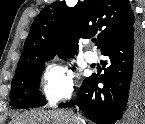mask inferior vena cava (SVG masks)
Returning <instances> with one entry per match:
<instances>
[{
    "mask_svg": "<svg viewBox=\"0 0 145 124\" xmlns=\"http://www.w3.org/2000/svg\"><path fill=\"white\" fill-rule=\"evenodd\" d=\"M77 124H85V122L78 116L76 117Z\"/></svg>",
    "mask_w": 145,
    "mask_h": 124,
    "instance_id": "obj_1",
    "label": "inferior vena cava"
}]
</instances>
